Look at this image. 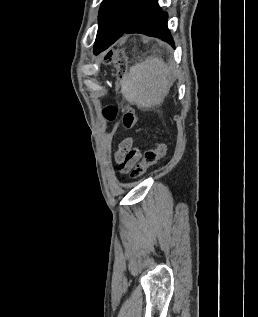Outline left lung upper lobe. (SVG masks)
<instances>
[{"mask_svg": "<svg viewBox=\"0 0 258 317\" xmlns=\"http://www.w3.org/2000/svg\"><path fill=\"white\" fill-rule=\"evenodd\" d=\"M131 0H103L99 10V28H121Z\"/></svg>", "mask_w": 258, "mask_h": 317, "instance_id": "5c2ea615", "label": "left lung upper lobe"}]
</instances>
